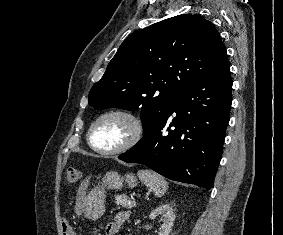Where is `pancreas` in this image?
Returning a JSON list of instances; mask_svg holds the SVG:
<instances>
[{
	"label": "pancreas",
	"instance_id": "pancreas-1",
	"mask_svg": "<svg viewBox=\"0 0 283 235\" xmlns=\"http://www.w3.org/2000/svg\"><path fill=\"white\" fill-rule=\"evenodd\" d=\"M115 202L117 205H120L124 208H132L135 206V204H131L129 202V197L126 194L116 195Z\"/></svg>",
	"mask_w": 283,
	"mask_h": 235
}]
</instances>
